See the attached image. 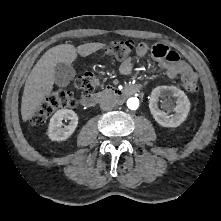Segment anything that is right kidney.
I'll return each mask as SVG.
<instances>
[{"label":"right kidney","mask_w":221,"mask_h":221,"mask_svg":"<svg viewBox=\"0 0 221 221\" xmlns=\"http://www.w3.org/2000/svg\"><path fill=\"white\" fill-rule=\"evenodd\" d=\"M69 120V125L62 127V121ZM78 125L77 114L69 109L58 110L50 119L48 137L53 141H64L69 138Z\"/></svg>","instance_id":"right-kidney-1"}]
</instances>
